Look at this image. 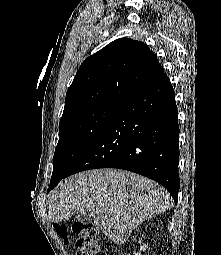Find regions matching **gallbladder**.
<instances>
[{"label": "gallbladder", "instance_id": "1", "mask_svg": "<svg viewBox=\"0 0 221 255\" xmlns=\"http://www.w3.org/2000/svg\"><path fill=\"white\" fill-rule=\"evenodd\" d=\"M91 218V215L87 212H79L76 216L78 222H85Z\"/></svg>", "mask_w": 221, "mask_h": 255}]
</instances>
